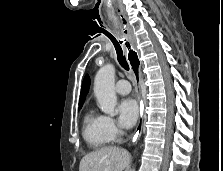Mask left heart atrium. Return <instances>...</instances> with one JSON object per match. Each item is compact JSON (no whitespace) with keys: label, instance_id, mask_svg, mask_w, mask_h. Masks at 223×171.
<instances>
[{"label":"left heart atrium","instance_id":"1","mask_svg":"<svg viewBox=\"0 0 223 171\" xmlns=\"http://www.w3.org/2000/svg\"><path fill=\"white\" fill-rule=\"evenodd\" d=\"M117 110L121 126L129 128L135 124L139 116V106L134 99L126 98L121 100Z\"/></svg>","mask_w":223,"mask_h":171}]
</instances>
